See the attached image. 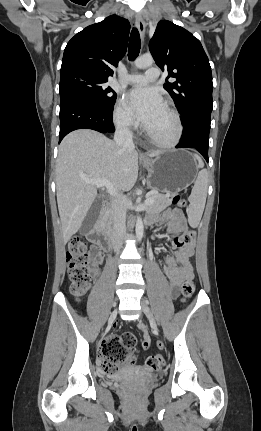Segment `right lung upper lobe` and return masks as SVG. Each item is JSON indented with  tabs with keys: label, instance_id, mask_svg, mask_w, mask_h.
I'll use <instances>...</instances> for the list:
<instances>
[{
	"label": "right lung upper lobe",
	"instance_id": "obj_1",
	"mask_svg": "<svg viewBox=\"0 0 261 431\" xmlns=\"http://www.w3.org/2000/svg\"><path fill=\"white\" fill-rule=\"evenodd\" d=\"M129 31V21L117 15L86 27L68 42L60 76L85 72L108 80L113 75L109 66H117L126 53Z\"/></svg>",
	"mask_w": 261,
	"mask_h": 431
}]
</instances>
